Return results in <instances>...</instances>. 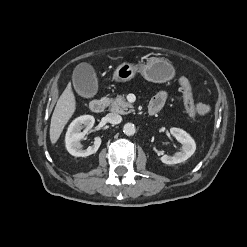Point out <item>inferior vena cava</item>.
<instances>
[{
	"label": "inferior vena cava",
	"instance_id": "inferior-vena-cava-1",
	"mask_svg": "<svg viewBox=\"0 0 247 247\" xmlns=\"http://www.w3.org/2000/svg\"><path fill=\"white\" fill-rule=\"evenodd\" d=\"M106 119L111 124H119L122 121V117L116 113H109L106 115Z\"/></svg>",
	"mask_w": 247,
	"mask_h": 247
}]
</instances>
